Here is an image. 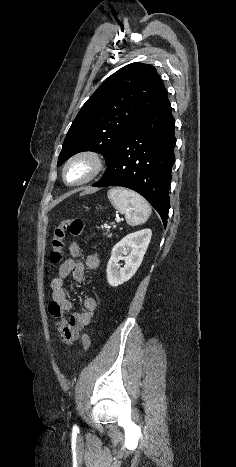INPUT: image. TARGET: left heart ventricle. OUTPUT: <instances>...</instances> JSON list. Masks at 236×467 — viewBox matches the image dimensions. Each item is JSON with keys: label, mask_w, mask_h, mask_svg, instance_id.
<instances>
[{"label": "left heart ventricle", "mask_w": 236, "mask_h": 467, "mask_svg": "<svg viewBox=\"0 0 236 467\" xmlns=\"http://www.w3.org/2000/svg\"><path fill=\"white\" fill-rule=\"evenodd\" d=\"M91 171V163L87 160H78L72 163L66 171V180L69 183L84 179Z\"/></svg>", "instance_id": "obj_1"}]
</instances>
